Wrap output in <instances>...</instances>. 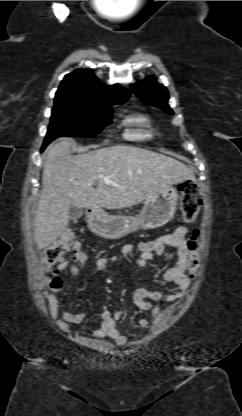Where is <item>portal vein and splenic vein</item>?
<instances>
[{"label": "portal vein and splenic vein", "mask_w": 242, "mask_h": 416, "mask_svg": "<svg viewBox=\"0 0 242 416\" xmlns=\"http://www.w3.org/2000/svg\"><path fill=\"white\" fill-rule=\"evenodd\" d=\"M101 178H103L106 182H108V178L104 177L103 175H100Z\"/></svg>", "instance_id": "portal-vein-and-splenic-vein-1"}]
</instances>
